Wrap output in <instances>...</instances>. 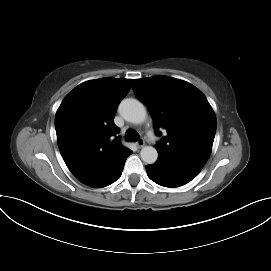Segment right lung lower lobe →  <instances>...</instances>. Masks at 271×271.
I'll use <instances>...</instances> for the list:
<instances>
[{
    "instance_id": "right-lung-lower-lobe-1",
    "label": "right lung lower lobe",
    "mask_w": 271,
    "mask_h": 271,
    "mask_svg": "<svg viewBox=\"0 0 271 271\" xmlns=\"http://www.w3.org/2000/svg\"><path fill=\"white\" fill-rule=\"evenodd\" d=\"M130 154H132V151L105 178L89 186L101 188L108 186L118 180L121 176L125 160Z\"/></svg>"
}]
</instances>
